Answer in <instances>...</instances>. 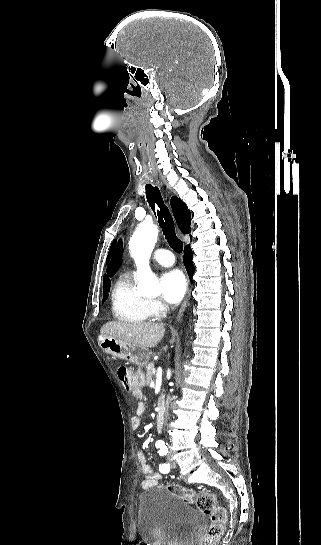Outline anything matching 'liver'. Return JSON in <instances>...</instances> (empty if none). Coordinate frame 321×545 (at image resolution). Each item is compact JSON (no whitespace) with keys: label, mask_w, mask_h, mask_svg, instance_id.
Instances as JSON below:
<instances>
[{"label":"liver","mask_w":321,"mask_h":545,"mask_svg":"<svg viewBox=\"0 0 321 545\" xmlns=\"http://www.w3.org/2000/svg\"><path fill=\"white\" fill-rule=\"evenodd\" d=\"M103 337H115L119 341L131 343L141 349H151L160 343L165 327L162 323H130V321H110L101 327ZM174 339L170 341L173 343Z\"/></svg>","instance_id":"6515ba94"}]
</instances>
